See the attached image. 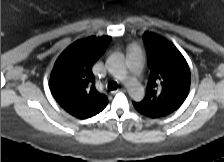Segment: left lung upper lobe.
Returning a JSON list of instances; mask_svg holds the SVG:
<instances>
[{
	"label": "left lung upper lobe",
	"instance_id": "1",
	"mask_svg": "<svg viewBox=\"0 0 224 162\" xmlns=\"http://www.w3.org/2000/svg\"><path fill=\"white\" fill-rule=\"evenodd\" d=\"M143 41L150 63V78L145 98L133 105L143 115L166 116L186 99L190 89V70L179 50L160 36L146 32Z\"/></svg>",
	"mask_w": 224,
	"mask_h": 162
}]
</instances>
